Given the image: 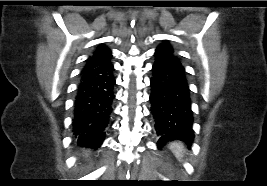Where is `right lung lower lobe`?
<instances>
[{"mask_svg": "<svg viewBox=\"0 0 267 186\" xmlns=\"http://www.w3.org/2000/svg\"><path fill=\"white\" fill-rule=\"evenodd\" d=\"M111 61L83 68L73 106V134L83 146L99 147L105 135L115 98Z\"/></svg>", "mask_w": 267, "mask_h": 186, "instance_id": "98d812e1", "label": "right lung lower lobe"}]
</instances>
